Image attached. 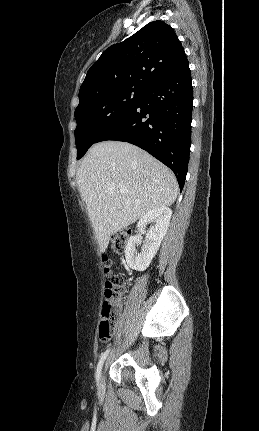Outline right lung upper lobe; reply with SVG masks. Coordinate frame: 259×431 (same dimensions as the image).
I'll return each mask as SVG.
<instances>
[{
  "label": "right lung upper lobe",
  "instance_id": "obj_1",
  "mask_svg": "<svg viewBox=\"0 0 259 431\" xmlns=\"http://www.w3.org/2000/svg\"><path fill=\"white\" fill-rule=\"evenodd\" d=\"M187 66L189 62L173 28L163 21H153L102 53L80 87L79 103L113 89H148Z\"/></svg>",
  "mask_w": 259,
  "mask_h": 431
}]
</instances>
